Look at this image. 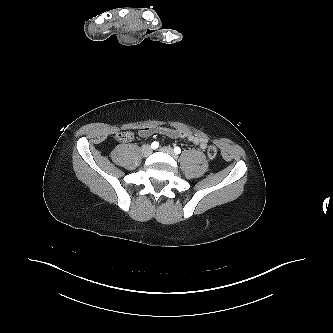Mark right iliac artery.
I'll list each match as a JSON object with an SVG mask.
<instances>
[{"instance_id":"1","label":"right iliac artery","mask_w":333,"mask_h":333,"mask_svg":"<svg viewBox=\"0 0 333 333\" xmlns=\"http://www.w3.org/2000/svg\"><path fill=\"white\" fill-rule=\"evenodd\" d=\"M151 147H152L153 149H156V148L159 147V143H158L157 141H154V142H152Z\"/></svg>"}]
</instances>
